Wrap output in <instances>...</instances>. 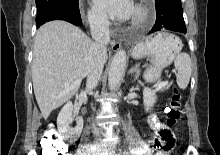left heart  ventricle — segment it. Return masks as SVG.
Wrapping results in <instances>:
<instances>
[{
  "label": "left heart ventricle",
  "mask_w": 220,
  "mask_h": 155,
  "mask_svg": "<svg viewBox=\"0 0 220 155\" xmlns=\"http://www.w3.org/2000/svg\"><path fill=\"white\" fill-rule=\"evenodd\" d=\"M136 14H137V12H136V10L134 9L133 14H132V18H133L134 16H136Z\"/></svg>",
  "instance_id": "1"
}]
</instances>
